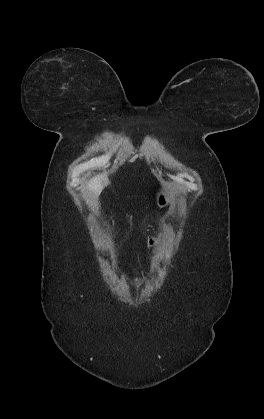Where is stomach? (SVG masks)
<instances>
[{
    "label": "stomach",
    "instance_id": "0dacf381",
    "mask_svg": "<svg viewBox=\"0 0 264 419\" xmlns=\"http://www.w3.org/2000/svg\"><path fill=\"white\" fill-rule=\"evenodd\" d=\"M172 192L169 188H162L156 194V204L159 208H165L169 205Z\"/></svg>",
    "mask_w": 264,
    "mask_h": 419
}]
</instances>
